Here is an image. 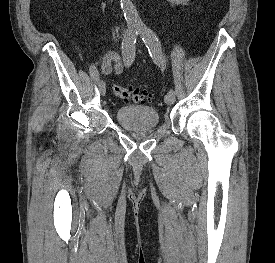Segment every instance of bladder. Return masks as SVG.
<instances>
[{"label":"bladder","instance_id":"bladder-1","mask_svg":"<svg viewBox=\"0 0 275 263\" xmlns=\"http://www.w3.org/2000/svg\"><path fill=\"white\" fill-rule=\"evenodd\" d=\"M117 122L127 130L152 129L159 124V113L142 105L122 106L115 111Z\"/></svg>","mask_w":275,"mask_h":263}]
</instances>
